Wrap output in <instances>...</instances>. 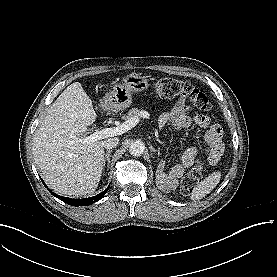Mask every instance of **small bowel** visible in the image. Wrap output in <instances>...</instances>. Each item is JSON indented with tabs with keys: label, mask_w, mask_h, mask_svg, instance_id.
I'll list each match as a JSON object with an SVG mask.
<instances>
[{
	"label": "small bowel",
	"mask_w": 277,
	"mask_h": 277,
	"mask_svg": "<svg viewBox=\"0 0 277 277\" xmlns=\"http://www.w3.org/2000/svg\"><path fill=\"white\" fill-rule=\"evenodd\" d=\"M157 124L159 128L170 124L176 130L188 128L193 124L209 129L200 150L189 148L182 154L181 161L177 166L179 175L193 165L199 154L211 156L223 150V131L220 125L213 124L207 116L192 115L190 108L182 99L177 101L170 111L160 115Z\"/></svg>",
	"instance_id": "small-bowel-1"
}]
</instances>
